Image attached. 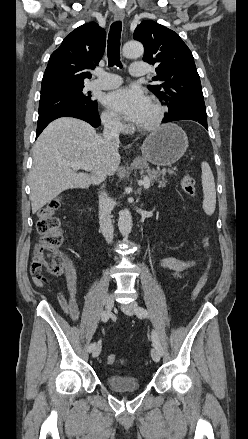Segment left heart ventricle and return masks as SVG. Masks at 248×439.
<instances>
[{
    "instance_id": "obj_1",
    "label": "left heart ventricle",
    "mask_w": 248,
    "mask_h": 439,
    "mask_svg": "<svg viewBox=\"0 0 248 439\" xmlns=\"http://www.w3.org/2000/svg\"><path fill=\"white\" fill-rule=\"evenodd\" d=\"M154 115H155V109L149 103L142 118L137 122V124H145V123L149 122L150 120H152Z\"/></svg>"
}]
</instances>
